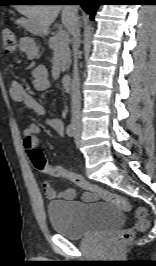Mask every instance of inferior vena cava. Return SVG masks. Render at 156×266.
Returning <instances> with one entry per match:
<instances>
[{"label":"inferior vena cava","mask_w":156,"mask_h":266,"mask_svg":"<svg viewBox=\"0 0 156 266\" xmlns=\"http://www.w3.org/2000/svg\"><path fill=\"white\" fill-rule=\"evenodd\" d=\"M73 11V21L70 32L73 36V51H74V68L73 79L71 85V113L72 121L80 123L81 120V93H80V79L78 69L79 46H80V23L78 17V6L71 5Z\"/></svg>","instance_id":"1"}]
</instances>
